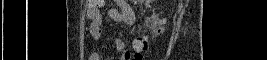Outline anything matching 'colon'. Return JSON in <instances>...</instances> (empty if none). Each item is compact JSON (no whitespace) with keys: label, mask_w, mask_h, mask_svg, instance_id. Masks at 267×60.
I'll return each mask as SVG.
<instances>
[{"label":"colon","mask_w":267,"mask_h":60,"mask_svg":"<svg viewBox=\"0 0 267 60\" xmlns=\"http://www.w3.org/2000/svg\"><path fill=\"white\" fill-rule=\"evenodd\" d=\"M147 45H148L147 38L144 36L137 37L134 40L135 53L133 55L135 59L137 60L143 59V52L147 50L148 47Z\"/></svg>","instance_id":"colon-1"}]
</instances>
